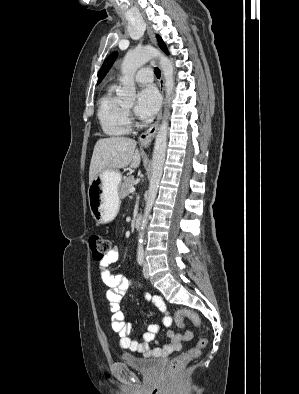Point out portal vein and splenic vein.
I'll return each mask as SVG.
<instances>
[{
    "instance_id": "obj_1",
    "label": "portal vein and splenic vein",
    "mask_w": 299,
    "mask_h": 394,
    "mask_svg": "<svg viewBox=\"0 0 299 394\" xmlns=\"http://www.w3.org/2000/svg\"><path fill=\"white\" fill-rule=\"evenodd\" d=\"M135 190H136V189H135L134 187L130 188V193H134Z\"/></svg>"
}]
</instances>
